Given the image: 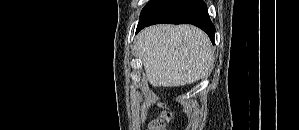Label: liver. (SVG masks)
Masks as SVG:
<instances>
[{"label":"liver","mask_w":299,"mask_h":130,"mask_svg":"<svg viewBox=\"0 0 299 130\" xmlns=\"http://www.w3.org/2000/svg\"><path fill=\"white\" fill-rule=\"evenodd\" d=\"M137 52L149 83L177 87L206 77L213 66L208 36L192 25H154L137 35Z\"/></svg>","instance_id":"1"}]
</instances>
